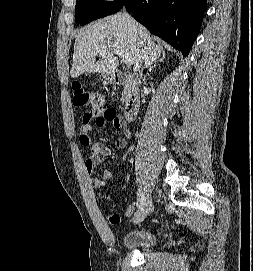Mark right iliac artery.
<instances>
[{"label":"right iliac artery","mask_w":253,"mask_h":271,"mask_svg":"<svg viewBox=\"0 0 253 271\" xmlns=\"http://www.w3.org/2000/svg\"><path fill=\"white\" fill-rule=\"evenodd\" d=\"M144 201V193L139 189L138 191V199H137V204L140 206Z\"/></svg>","instance_id":"right-iliac-artery-1"}]
</instances>
